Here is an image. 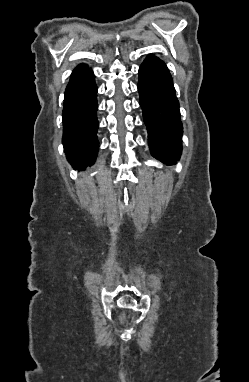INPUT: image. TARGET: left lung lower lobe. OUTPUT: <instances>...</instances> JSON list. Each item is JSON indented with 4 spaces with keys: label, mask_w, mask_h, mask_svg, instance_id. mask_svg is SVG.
Instances as JSON below:
<instances>
[{
    "label": "left lung lower lobe",
    "mask_w": 249,
    "mask_h": 382,
    "mask_svg": "<svg viewBox=\"0 0 249 382\" xmlns=\"http://www.w3.org/2000/svg\"><path fill=\"white\" fill-rule=\"evenodd\" d=\"M138 91L151 154L174 164L182 151L179 102L166 64L152 54L139 68Z\"/></svg>",
    "instance_id": "1"
}]
</instances>
